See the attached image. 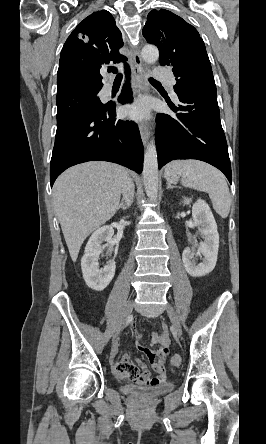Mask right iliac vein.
<instances>
[{
  "mask_svg": "<svg viewBox=\"0 0 266 444\" xmlns=\"http://www.w3.org/2000/svg\"><path fill=\"white\" fill-rule=\"evenodd\" d=\"M133 305H134L133 301L128 302V304L122 314V317L117 325L114 337H117L120 334V332L122 331V329L125 327L129 317L131 316V313L133 310Z\"/></svg>",
  "mask_w": 266,
  "mask_h": 444,
  "instance_id": "obj_1",
  "label": "right iliac vein"
}]
</instances>
